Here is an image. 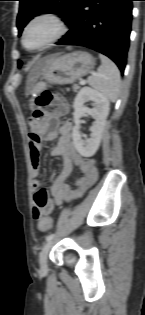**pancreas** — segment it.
Returning <instances> with one entry per match:
<instances>
[{"label":"pancreas","mask_w":145,"mask_h":315,"mask_svg":"<svg viewBox=\"0 0 145 315\" xmlns=\"http://www.w3.org/2000/svg\"><path fill=\"white\" fill-rule=\"evenodd\" d=\"M79 88H80L79 85L73 84V90H74V91H77Z\"/></svg>","instance_id":"cf45deb5"}]
</instances>
